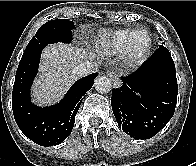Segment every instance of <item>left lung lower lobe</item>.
Masks as SVG:
<instances>
[{
    "instance_id": "left-lung-lower-lobe-1",
    "label": "left lung lower lobe",
    "mask_w": 196,
    "mask_h": 166,
    "mask_svg": "<svg viewBox=\"0 0 196 166\" xmlns=\"http://www.w3.org/2000/svg\"><path fill=\"white\" fill-rule=\"evenodd\" d=\"M113 89L111 105L120 129L135 139H149L172 118L178 94L175 64L166 47Z\"/></svg>"
}]
</instances>
